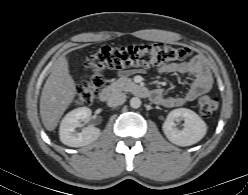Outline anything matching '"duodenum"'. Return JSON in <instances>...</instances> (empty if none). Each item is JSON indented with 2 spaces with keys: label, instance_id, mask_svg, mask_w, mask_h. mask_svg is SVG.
<instances>
[{
  "label": "duodenum",
  "instance_id": "duodenum-1",
  "mask_svg": "<svg viewBox=\"0 0 248 195\" xmlns=\"http://www.w3.org/2000/svg\"><path fill=\"white\" fill-rule=\"evenodd\" d=\"M131 92L138 97H148L150 95L149 89L139 83L130 84ZM117 93V88L113 85L104 87L100 92V100L102 102H111Z\"/></svg>",
  "mask_w": 248,
  "mask_h": 195
}]
</instances>
